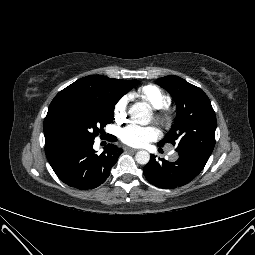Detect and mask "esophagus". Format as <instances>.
I'll return each instance as SVG.
<instances>
[{
  "label": "esophagus",
  "mask_w": 255,
  "mask_h": 255,
  "mask_svg": "<svg viewBox=\"0 0 255 255\" xmlns=\"http://www.w3.org/2000/svg\"><path fill=\"white\" fill-rule=\"evenodd\" d=\"M123 149H124L125 151H131V152L137 151V149H134V148H131V147H128V146H125Z\"/></svg>",
  "instance_id": "34e87169"
}]
</instances>
